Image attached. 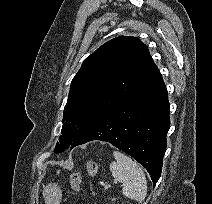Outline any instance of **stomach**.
Returning <instances> with one entry per match:
<instances>
[{"instance_id": "0dacf381", "label": "stomach", "mask_w": 212, "mask_h": 204, "mask_svg": "<svg viewBox=\"0 0 212 204\" xmlns=\"http://www.w3.org/2000/svg\"><path fill=\"white\" fill-rule=\"evenodd\" d=\"M62 191L57 184L50 183L44 188L46 204H60Z\"/></svg>"}]
</instances>
